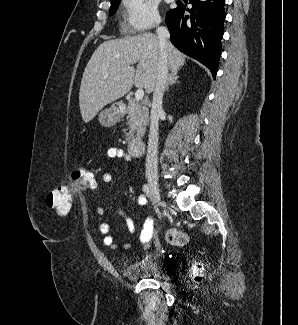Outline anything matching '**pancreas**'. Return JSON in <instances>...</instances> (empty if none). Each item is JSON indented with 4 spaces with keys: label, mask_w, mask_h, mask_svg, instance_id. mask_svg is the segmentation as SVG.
<instances>
[{
    "label": "pancreas",
    "mask_w": 298,
    "mask_h": 325,
    "mask_svg": "<svg viewBox=\"0 0 298 325\" xmlns=\"http://www.w3.org/2000/svg\"><path fill=\"white\" fill-rule=\"evenodd\" d=\"M127 126L126 128V140L128 144H132L136 136H143L145 132V126L148 124V108L139 104V100L131 98L127 106Z\"/></svg>",
    "instance_id": "obj_1"
}]
</instances>
